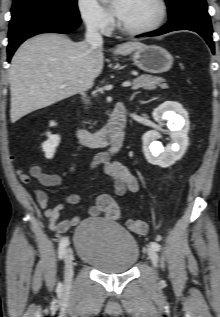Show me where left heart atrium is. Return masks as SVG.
Here are the masks:
<instances>
[{
    "label": "left heart atrium",
    "mask_w": 220,
    "mask_h": 317,
    "mask_svg": "<svg viewBox=\"0 0 220 317\" xmlns=\"http://www.w3.org/2000/svg\"><path fill=\"white\" fill-rule=\"evenodd\" d=\"M127 0H111L109 4V8L111 13L116 16L117 18H120L123 14L125 4Z\"/></svg>",
    "instance_id": "39dd6f15"
}]
</instances>
